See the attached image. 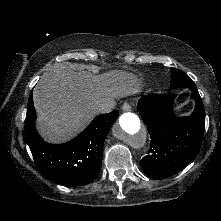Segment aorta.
Here are the masks:
<instances>
[{
    "label": "aorta",
    "mask_w": 221,
    "mask_h": 221,
    "mask_svg": "<svg viewBox=\"0 0 221 221\" xmlns=\"http://www.w3.org/2000/svg\"><path fill=\"white\" fill-rule=\"evenodd\" d=\"M113 135L126 144L140 148L146 143V132L141 126L139 117L131 112L123 113L118 123L112 128Z\"/></svg>",
    "instance_id": "762f6f07"
}]
</instances>
